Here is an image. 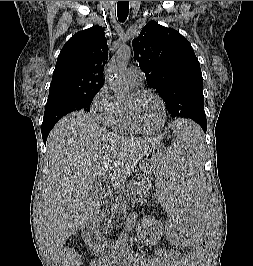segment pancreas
<instances>
[{
  "mask_svg": "<svg viewBox=\"0 0 253 266\" xmlns=\"http://www.w3.org/2000/svg\"><path fill=\"white\" fill-rule=\"evenodd\" d=\"M150 187L149 178L145 175L139 176L136 180H133L127 185V189L121 191L117 197V201L114 204L112 215L121 210V208L128 202H142L148 198V192ZM110 220L108 221V223Z\"/></svg>",
  "mask_w": 253,
  "mask_h": 266,
  "instance_id": "cf45deb5",
  "label": "pancreas"
}]
</instances>
